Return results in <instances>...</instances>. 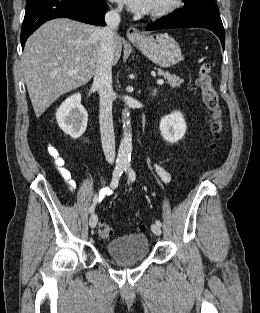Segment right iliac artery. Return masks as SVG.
Listing matches in <instances>:
<instances>
[{
	"instance_id": "82829eb1",
	"label": "right iliac artery",
	"mask_w": 260,
	"mask_h": 313,
	"mask_svg": "<svg viewBox=\"0 0 260 313\" xmlns=\"http://www.w3.org/2000/svg\"><path fill=\"white\" fill-rule=\"evenodd\" d=\"M124 170H125V166H124V165H122V164L116 165V167H115V169H114V171H113V178H112V181H111V184H110V186H111L112 188H116V187L118 186L119 178H120V176L122 175V173H123ZM101 191H102V190H101ZM107 191H109V189H108V188H105V190L102 191V192L105 193V192H107ZM94 210H95V203H93V204L91 205V207H90V209H89V212H90V213H93Z\"/></svg>"
}]
</instances>
